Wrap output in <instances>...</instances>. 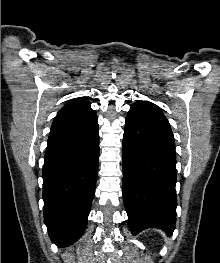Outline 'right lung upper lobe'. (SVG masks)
<instances>
[{"label": "right lung upper lobe", "instance_id": "1", "mask_svg": "<svg viewBox=\"0 0 220 263\" xmlns=\"http://www.w3.org/2000/svg\"><path fill=\"white\" fill-rule=\"evenodd\" d=\"M98 126L97 115L86 99L66 104L55 117L50 134L61 137H80Z\"/></svg>", "mask_w": 220, "mask_h": 263}]
</instances>
